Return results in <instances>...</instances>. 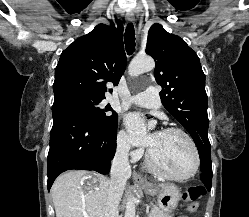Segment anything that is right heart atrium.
<instances>
[{
    "label": "right heart atrium",
    "instance_id": "obj_1",
    "mask_svg": "<svg viewBox=\"0 0 249 217\" xmlns=\"http://www.w3.org/2000/svg\"><path fill=\"white\" fill-rule=\"evenodd\" d=\"M116 144L119 153L124 157H131L132 160H136L140 151L131 149V143L129 136L125 130H120L116 137Z\"/></svg>",
    "mask_w": 249,
    "mask_h": 217
}]
</instances>
